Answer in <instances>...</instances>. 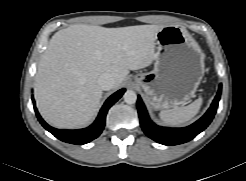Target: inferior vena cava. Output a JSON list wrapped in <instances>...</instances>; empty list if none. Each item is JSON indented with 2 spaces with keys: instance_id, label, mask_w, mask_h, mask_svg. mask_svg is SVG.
<instances>
[{
  "instance_id": "602c4592",
  "label": "inferior vena cava",
  "mask_w": 246,
  "mask_h": 181,
  "mask_svg": "<svg viewBox=\"0 0 246 181\" xmlns=\"http://www.w3.org/2000/svg\"><path fill=\"white\" fill-rule=\"evenodd\" d=\"M115 79L110 73H103L98 78V85L102 90H110L114 88Z\"/></svg>"
}]
</instances>
